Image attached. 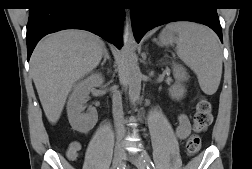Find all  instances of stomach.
Masks as SVG:
<instances>
[{
    "label": "stomach",
    "instance_id": "0dacf381",
    "mask_svg": "<svg viewBox=\"0 0 252 169\" xmlns=\"http://www.w3.org/2000/svg\"><path fill=\"white\" fill-rule=\"evenodd\" d=\"M177 33L172 26H167L159 35V41L162 45H171L177 42Z\"/></svg>",
    "mask_w": 252,
    "mask_h": 169
}]
</instances>
